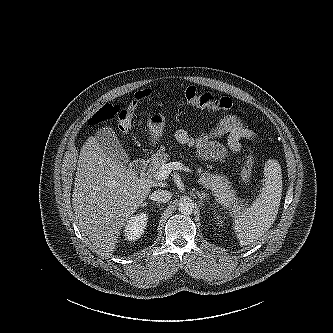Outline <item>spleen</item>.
Instances as JSON below:
<instances>
[{"label": "spleen", "instance_id": "obj_1", "mask_svg": "<svg viewBox=\"0 0 333 333\" xmlns=\"http://www.w3.org/2000/svg\"><path fill=\"white\" fill-rule=\"evenodd\" d=\"M264 185L251 207L234 214L233 228L240 246L259 240L273 225L282 196V172L277 160L264 166Z\"/></svg>", "mask_w": 333, "mask_h": 333}]
</instances>
